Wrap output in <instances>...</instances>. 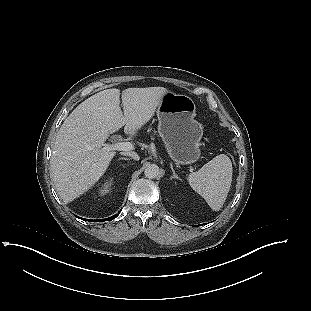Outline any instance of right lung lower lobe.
I'll return each mask as SVG.
<instances>
[{
  "instance_id": "obj_1",
  "label": "right lung lower lobe",
  "mask_w": 311,
  "mask_h": 311,
  "mask_svg": "<svg viewBox=\"0 0 311 311\" xmlns=\"http://www.w3.org/2000/svg\"><path fill=\"white\" fill-rule=\"evenodd\" d=\"M118 216V214H115L109 218H106V219H100V220H89V219H83V220H87V221H93V222H101V221H108V220H113L114 218H116Z\"/></svg>"
}]
</instances>
